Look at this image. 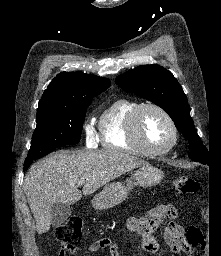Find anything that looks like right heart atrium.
Segmentation results:
<instances>
[{
	"label": "right heart atrium",
	"mask_w": 221,
	"mask_h": 256,
	"mask_svg": "<svg viewBox=\"0 0 221 256\" xmlns=\"http://www.w3.org/2000/svg\"><path fill=\"white\" fill-rule=\"evenodd\" d=\"M84 134L86 143L89 146H93L96 143V133L95 130L90 122H86L84 124Z\"/></svg>",
	"instance_id": "1"
}]
</instances>
